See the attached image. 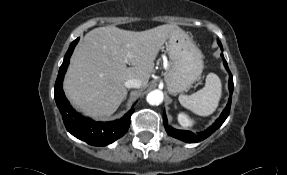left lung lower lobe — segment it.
<instances>
[{"label": "left lung lower lobe", "mask_w": 287, "mask_h": 175, "mask_svg": "<svg viewBox=\"0 0 287 175\" xmlns=\"http://www.w3.org/2000/svg\"><path fill=\"white\" fill-rule=\"evenodd\" d=\"M218 44H219L220 48L222 49V45H221L220 41H218ZM221 56L223 58L224 66L227 69V71L229 72L230 99L228 101L226 108L223 110L220 117L215 121V123L212 126H210L205 131L199 132L197 134L192 133L190 131L177 130V129L172 128L171 126H168L166 115H164L165 129H166L167 133L169 135H171L172 137H175L177 139H180V140L188 142V143L200 142V141L206 139L208 136H210L213 132H215L223 124V122L226 120V118L228 117L229 112H230V107H231V95L233 93V77L229 71L227 62H226L223 54H221Z\"/></svg>", "instance_id": "0a47b994"}]
</instances>
